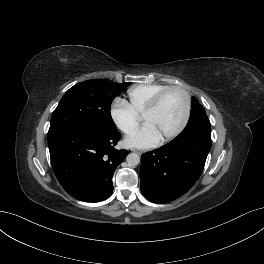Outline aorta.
<instances>
[{"label":"aorta","instance_id":"1","mask_svg":"<svg viewBox=\"0 0 264 264\" xmlns=\"http://www.w3.org/2000/svg\"><path fill=\"white\" fill-rule=\"evenodd\" d=\"M126 161L129 165H138L140 163V156L137 153H130L127 155Z\"/></svg>","mask_w":264,"mask_h":264}]
</instances>
